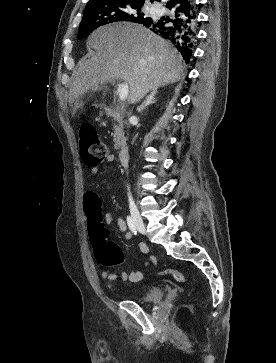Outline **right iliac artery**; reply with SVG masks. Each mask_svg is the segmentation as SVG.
<instances>
[{
  "instance_id": "1",
  "label": "right iliac artery",
  "mask_w": 276,
  "mask_h": 363,
  "mask_svg": "<svg viewBox=\"0 0 276 363\" xmlns=\"http://www.w3.org/2000/svg\"><path fill=\"white\" fill-rule=\"evenodd\" d=\"M127 224L129 226V229L136 235V233H137L136 227L133 222V219L130 216H127Z\"/></svg>"
}]
</instances>
